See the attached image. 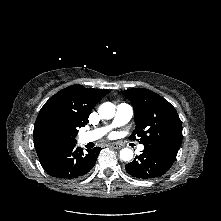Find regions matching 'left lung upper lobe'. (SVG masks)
I'll use <instances>...</instances> for the list:
<instances>
[{"mask_svg":"<svg viewBox=\"0 0 221 221\" xmlns=\"http://www.w3.org/2000/svg\"><path fill=\"white\" fill-rule=\"evenodd\" d=\"M134 108L136 128L130 139L136 135L143 145L162 144L179 148L182 141V123L176 109L155 92L135 88L124 90Z\"/></svg>","mask_w":221,"mask_h":221,"instance_id":"1","label":"left lung upper lobe"}]
</instances>
